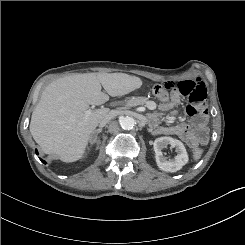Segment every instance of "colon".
<instances>
[{
  "instance_id": "5ec220e1",
  "label": "colon",
  "mask_w": 245,
  "mask_h": 245,
  "mask_svg": "<svg viewBox=\"0 0 245 245\" xmlns=\"http://www.w3.org/2000/svg\"><path fill=\"white\" fill-rule=\"evenodd\" d=\"M163 84H157L153 87V93L161 101H167L169 98V92L164 91ZM203 150L199 147H196L192 150V156L195 160H198L202 157Z\"/></svg>"
}]
</instances>
